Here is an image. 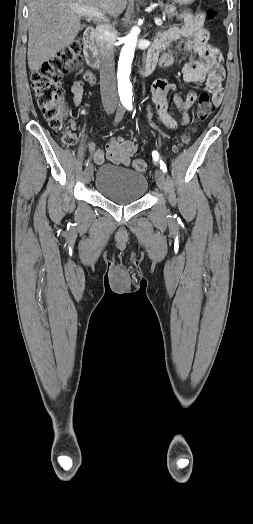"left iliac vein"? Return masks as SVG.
I'll list each match as a JSON object with an SVG mask.
<instances>
[{
	"instance_id": "4c4485c4",
	"label": "left iliac vein",
	"mask_w": 253,
	"mask_h": 524,
	"mask_svg": "<svg viewBox=\"0 0 253 524\" xmlns=\"http://www.w3.org/2000/svg\"><path fill=\"white\" fill-rule=\"evenodd\" d=\"M155 180H156V183L159 189L165 190L166 188L165 173L161 169H157L155 171Z\"/></svg>"
}]
</instances>
